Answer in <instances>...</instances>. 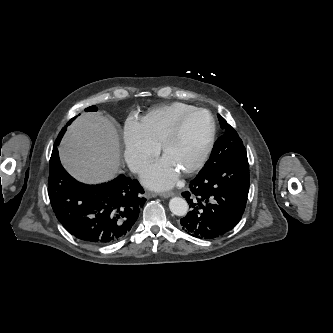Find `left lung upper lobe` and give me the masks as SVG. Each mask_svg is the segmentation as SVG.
Masks as SVG:
<instances>
[{"label": "left lung upper lobe", "mask_w": 333, "mask_h": 333, "mask_svg": "<svg viewBox=\"0 0 333 333\" xmlns=\"http://www.w3.org/2000/svg\"><path fill=\"white\" fill-rule=\"evenodd\" d=\"M222 135L224 138H219L212 149L211 156L205 166L211 164H221L227 160L234 159L240 156H246V150L237 132L226 123V120L218 114Z\"/></svg>", "instance_id": "left-lung-upper-lobe-1"}]
</instances>
